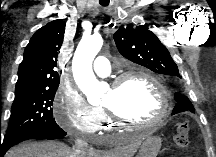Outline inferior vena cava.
<instances>
[{"instance_id": "1", "label": "inferior vena cava", "mask_w": 216, "mask_h": 157, "mask_svg": "<svg viewBox=\"0 0 216 157\" xmlns=\"http://www.w3.org/2000/svg\"><path fill=\"white\" fill-rule=\"evenodd\" d=\"M75 151L77 154H81V157H85L87 152L92 151L93 149L88 146V143L77 138L75 140Z\"/></svg>"}]
</instances>
